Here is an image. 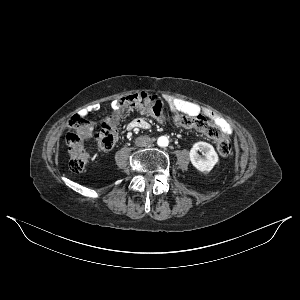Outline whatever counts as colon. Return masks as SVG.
I'll return each mask as SVG.
<instances>
[{"label":"colon","instance_id":"colon-1","mask_svg":"<svg viewBox=\"0 0 300 300\" xmlns=\"http://www.w3.org/2000/svg\"><path fill=\"white\" fill-rule=\"evenodd\" d=\"M134 110L150 114L159 121L169 119V114L162 101L145 92L134 93L118 100L113 106L111 116L101 124L99 130H94L79 117L74 118L70 122L72 131L66 136L70 169L76 173L85 169L88 156L84 144L87 141H94L102 150L112 149L118 140V126L121 117ZM171 120L176 126L197 130L213 139L221 157L228 158L231 156L232 148L229 139L217 125L210 123L204 116L176 111L172 113Z\"/></svg>","mask_w":300,"mask_h":300}]
</instances>
